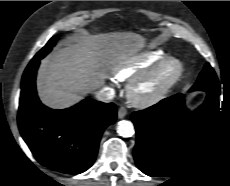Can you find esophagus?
Returning <instances> with one entry per match:
<instances>
[{
  "label": "esophagus",
  "mask_w": 230,
  "mask_h": 186,
  "mask_svg": "<svg viewBox=\"0 0 230 186\" xmlns=\"http://www.w3.org/2000/svg\"><path fill=\"white\" fill-rule=\"evenodd\" d=\"M127 115V109L125 107H120L118 109V118L122 119Z\"/></svg>",
  "instance_id": "esophagus-1"
}]
</instances>
